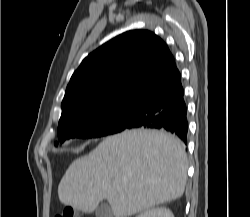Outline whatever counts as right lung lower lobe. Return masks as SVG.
<instances>
[{"mask_svg": "<svg viewBox=\"0 0 250 217\" xmlns=\"http://www.w3.org/2000/svg\"><path fill=\"white\" fill-rule=\"evenodd\" d=\"M131 128L163 129L187 144V107L178 70L138 96L134 115L126 127Z\"/></svg>", "mask_w": 250, "mask_h": 217, "instance_id": "obj_1", "label": "right lung lower lobe"}]
</instances>
